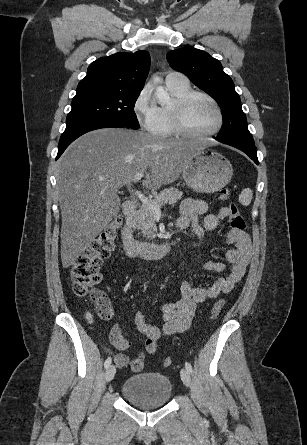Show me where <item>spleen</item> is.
Returning <instances> with one entry per match:
<instances>
[{
  "label": "spleen",
  "mask_w": 307,
  "mask_h": 445,
  "mask_svg": "<svg viewBox=\"0 0 307 445\" xmlns=\"http://www.w3.org/2000/svg\"><path fill=\"white\" fill-rule=\"evenodd\" d=\"M252 196V190H250V188H244L241 194H239V202H241V204H244V206H248V204H250L252 200Z\"/></svg>",
  "instance_id": "1"
}]
</instances>
